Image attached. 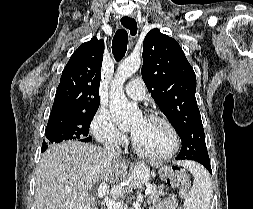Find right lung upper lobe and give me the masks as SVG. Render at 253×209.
Returning a JSON list of instances; mask_svg holds the SVG:
<instances>
[{
  "mask_svg": "<svg viewBox=\"0 0 253 209\" xmlns=\"http://www.w3.org/2000/svg\"><path fill=\"white\" fill-rule=\"evenodd\" d=\"M103 53L104 41L96 37L73 53L62 72L50 117L99 106Z\"/></svg>",
  "mask_w": 253,
  "mask_h": 209,
  "instance_id": "1",
  "label": "right lung upper lobe"
}]
</instances>
